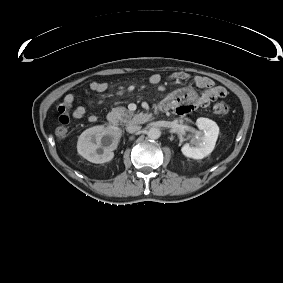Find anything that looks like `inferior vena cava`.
<instances>
[{"label": "inferior vena cava", "mask_w": 283, "mask_h": 283, "mask_svg": "<svg viewBox=\"0 0 283 283\" xmlns=\"http://www.w3.org/2000/svg\"><path fill=\"white\" fill-rule=\"evenodd\" d=\"M141 129V126L135 124H129L126 128V131L129 133H135Z\"/></svg>", "instance_id": "1"}]
</instances>
